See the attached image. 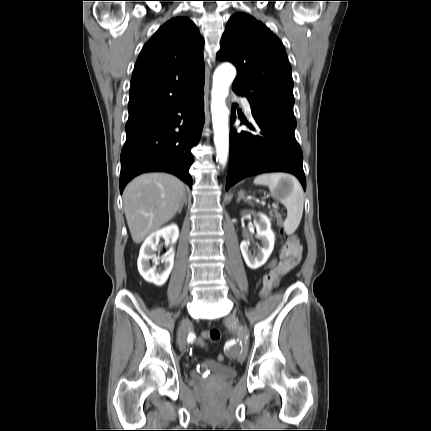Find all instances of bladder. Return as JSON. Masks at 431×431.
I'll use <instances>...</instances> for the list:
<instances>
[{"mask_svg":"<svg viewBox=\"0 0 431 431\" xmlns=\"http://www.w3.org/2000/svg\"><path fill=\"white\" fill-rule=\"evenodd\" d=\"M191 376L196 380L225 381L236 376V370L223 363L206 360L191 371Z\"/></svg>","mask_w":431,"mask_h":431,"instance_id":"31cf9c89","label":"bladder"}]
</instances>
